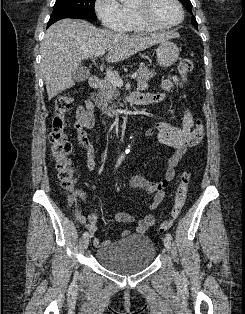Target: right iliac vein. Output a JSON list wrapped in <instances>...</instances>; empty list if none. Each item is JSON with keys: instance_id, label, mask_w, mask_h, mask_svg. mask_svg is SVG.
Returning a JSON list of instances; mask_svg holds the SVG:
<instances>
[{"instance_id": "obj_1", "label": "right iliac vein", "mask_w": 245, "mask_h": 314, "mask_svg": "<svg viewBox=\"0 0 245 314\" xmlns=\"http://www.w3.org/2000/svg\"><path fill=\"white\" fill-rule=\"evenodd\" d=\"M89 246V236L85 237L83 240V247L84 249H87Z\"/></svg>"}]
</instances>
